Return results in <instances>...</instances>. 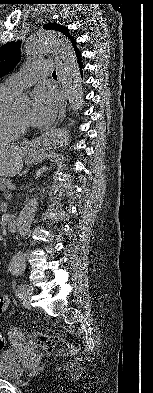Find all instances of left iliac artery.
<instances>
[{
    "label": "left iliac artery",
    "instance_id": "left-iliac-artery-1",
    "mask_svg": "<svg viewBox=\"0 0 153 393\" xmlns=\"http://www.w3.org/2000/svg\"><path fill=\"white\" fill-rule=\"evenodd\" d=\"M27 288V285H20L16 290V296L22 298L24 290Z\"/></svg>",
    "mask_w": 153,
    "mask_h": 393
}]
</instances>
